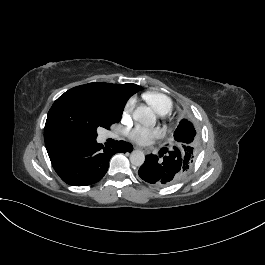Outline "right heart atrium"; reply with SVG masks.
Wrapping results in <instances>:
<instances>
[{
    "label": "right heart atrium",
    "instance_id": "right-heart-atrium-1",
    "mask_svg": "<svg viewBox=\"0 0 265 265\" xmlns=\"http://www.w3.org/2000/svg\"><path fill=\"white\" fill-rule=\"evenodd\" d=\"M135 107L134 99H130L125 107V114H130Z\"/></svg>",
    "mask_w": 265,
    "mask_h": 265
}]
</instances>
